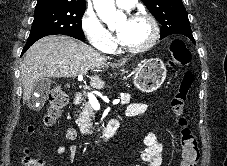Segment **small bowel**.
<instances>
[{
	"instance_id": "c3829d8e",
	"label": "small bowel",
	"mask_w": 227,
	"mask_h": 166,
	"mask_svg": "<svg viewBox=\"0 0 227 166\" xmlns=\"http://www.w3.org/2000/svg\"><path fill=\"white\" fill-rule=\"evenodd\" d=\"M148 106L143 103H134L129 105L126 108V115L129 117H134L138 115H143L147 113ZM66 140H73L76 137V132L74 129L70 128L65 132L64 135ZM147 145L145 151L141 155V159L148 166H161L163 157H162V144L156 140L154 133H149L145 139ZM79 148L77 145L72 144L66 146L64 144L58 147V154L61 158L67 159L68 161L73 160L77 155Z\"/></svg>"
}]
</instances>
